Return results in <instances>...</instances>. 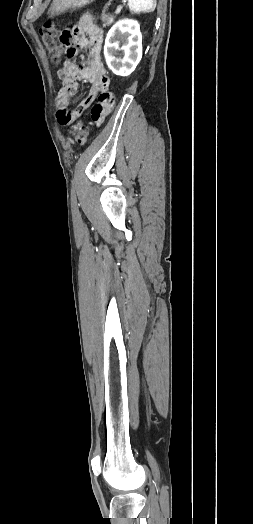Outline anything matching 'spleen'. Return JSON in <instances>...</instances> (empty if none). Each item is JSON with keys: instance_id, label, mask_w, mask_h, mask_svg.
<instances>
[{"instance_id": "1", "label": "spleen", "mask_w": 253, "mask_h": 524, "mask_svg": "<svg viewBox=\"0 0 253 524\" xmlns=\"http://www.w3.org/2000/svg\"><path fill=\"white\" fill-rule=\"evenodd\" d=\"M129 9L134 13H149L153 12L156 8L155 0H128Z\"/></svg>"}]
</instances>
